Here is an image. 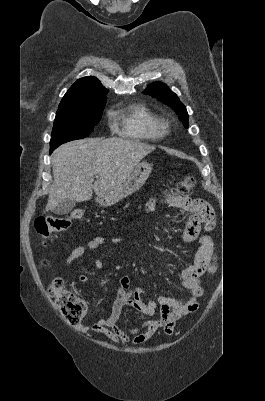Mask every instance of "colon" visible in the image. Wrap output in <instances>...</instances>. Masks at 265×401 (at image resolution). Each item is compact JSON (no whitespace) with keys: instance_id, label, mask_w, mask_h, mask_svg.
I'll return each mask as SVG.
<instances>
[{"instance_id":"colon-1","label":"colon","mask_w":265,"mask_h":401,"mask_svg":"<svg viewBox=\"0 0 265 401\" xmlns=\"http://www.w3.org/2000/svg\"><path fill=\"white\" fill-rule=\"evenodd\" d=\"M196 181L192 176H187L165 192V197H188L192 194ZM84 215L83 210L74 209L64 217H38L34 221V229L41 239L47 238L53 232L68 228L73 220H80ZM49 295L54 299L55 305L62 318L70 325H77L85 316L87 306L83 299L67 290L60 278L51 281L48 287ZM164 331L171 334V324L165 323Z\"/></svg>"}]
</instances>
